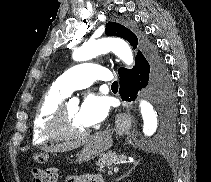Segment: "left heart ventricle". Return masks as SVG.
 Returning <instances> with one entry per match:
<instances>
[{
	"label": "left heart ventricle",
	"mask_w": 211,
	"mask_h": 182,
	"mask_svg": "<svg viewBox=\"0 0 211 182\" xmlns=\"http://www.w3.org/2000/svg\"><path fill=\"white\" fill-rule=\"evenodd\" d=\"M65 120L69 132L76 133L87 129L78 119V107L76 105L67 104L65 106Z\"/></svg>",
	"instance_id": "b2bd125f"
}]
</instances>
